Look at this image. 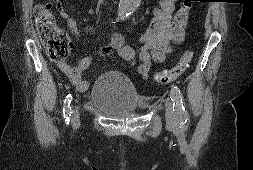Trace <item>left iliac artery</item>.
<instances>
[{"label":"left iliac artery","instance_id":"obj_1","mask_svg":"<svg viewBox=\"0 0 253 170\" xmlns=\"http://www.w3.org/2000/svg\"><path fill=\"white\" fill-rule=\"evenodd\" d=\"M171 100L173 101V110L180 117V128L186 130L188 128V113L183 105V98L180 90L173 87L170 93Z\"/></svg>","mask_w":253,"mask_h":170}]
</instances>
